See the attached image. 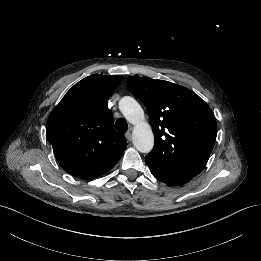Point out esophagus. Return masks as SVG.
<instances>
[{"label": "esophagus", "mask_w": 261, "mask_h": 261, "mask_svg": "<svg viewBox=\"0 0 261 261\" xmlns=\"http://www.w3.org/2000/svg\"><path fill=\"white\" fill-rule=\"evenodd\" d=\"M125 137L128 139V141H131L132 140V134L130 131L126 132L125 133Z\"/></svg>", "instance_id": "esophagus-1"}]
</instances>
